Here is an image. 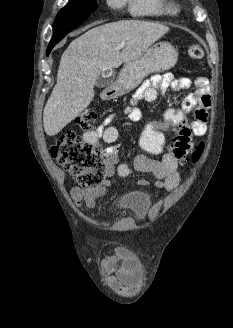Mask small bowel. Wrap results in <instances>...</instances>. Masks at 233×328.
<instances>
[{
  "mask_svg": "<svg viewBox=\"0 0 233 328\" xmlns=\"http://www.w3.org/2000/svg\"><path fill=\"white\" fill-rule=\"evenodd\" d=\"M195 86V90L189 93L182 103V110L188 114L193 111V119L190 126L195 136H203L207 132L208 109L211 106L208 79L205 77L175 78L172 73L155 75L145 81L134 93L131 104L124 109V114L132 121L141 119V112L137 107L142 102H153L158 97V91L166 93L169 89L173 91L184 90ZM113 115L107 116L95 129L87 131L83 139L97 146L102 139L107 144H114L118 139V130L112 126ZM117 145L105 149L106 175L111 177L117 172L121 177L130 174L131 168L126 164H118ZM117 166V167H116ZM134 169L139 172L152 174L155 178V187L173 191L179 185L180 175L179 163L171 153L165 152L161 160H155L146 154L138 155L134 160ZM140 186H147L149 182L145 179L138 181ZM109 186L108 181L94 189L74 187L71 198L75 205L83 209V202L87 208H94L99 200L105 195ZM103 267L107 274L108 286L123 296H129L138 292L141 283V268L137 257L127 249H119L114 254L103 260Z\"/></svg>",
  "mask_w": 233,
  "mask_h": 328,
  "instance_id": "small-bowel-1",
  "label": "small bowel"
}]
</instances>
